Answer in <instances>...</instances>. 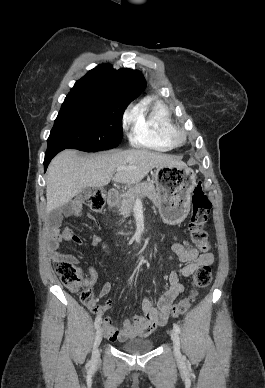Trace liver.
Wrapping results in <instances>:
<instances>
[{
	"mask_svg": "<svg viewBox=\"0 0 265 388\" xmlns=\"http://www.w3.org/2000/svg\"><path fill=\"white\" fill-rule=\"evenodd\" d=\"M119 166H134L135 170H122L113 176ZM184 168L181 160L150 152V150H124L104 152L91 158H79L74 150L58 154L47 170V214L66 206L84 188H102L110 180L120 184H140L153 168Z\"/></svg>",
	"mask_w": 265,
	"mask_h": 388,
	"instance_id": "liver-1",
	"label": "liver"
}]
</instances>
